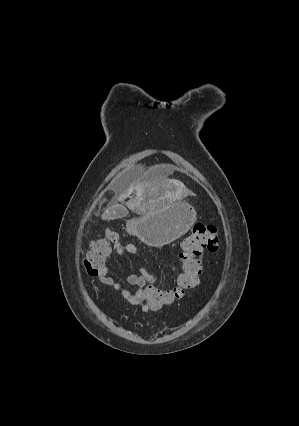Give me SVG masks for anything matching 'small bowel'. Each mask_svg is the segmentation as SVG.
Wrapping results in <instances>:
<instances>
[{
	"mask_svg": "<svg viewBox=\"0 0 299 426\" xmlns=\"http://www.w3.org/2000/svg\"><path fill=\"white\" fill-rule=\"evenodd\" d=\"M119 256L126 254L139 257V251L136 245L132 243H117L113 246L112 251ZM98 280L102 285L112 287L118 291L121 296L131 305L139 306L143 311H153V309L146 303L144 298V288L149 282H159L156 275L148 271L145 267H141L139 273L130 274L127 276V283L133 290L125 288L121 283L116 281L109 274L107 265L102 268L98 275Z\"/></svg>",
	"mask_w": 299,
	"mask_h": 426,
	"instance_id": "1",
	"label": "small bowel"
}]
</instances>
